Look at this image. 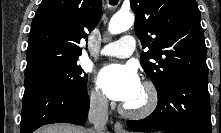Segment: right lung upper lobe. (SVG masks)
<instances>
[{
  "label": "right lung upper lobe",
  "instance_id": "1",
  "mask_svg": "<svg viewBox=\"0 0 221 133\" xmlns=\"http://www.w3.org/2000/svg\"><path fill=\"white\" fill-rule=\"evenodd\" d=\"M101 0H43L32 20L25 76L44 67L75 63L101 16Z\"/></svg>",
  "mask_w": 221,
  "mask_h": 133
}]
</instances>
